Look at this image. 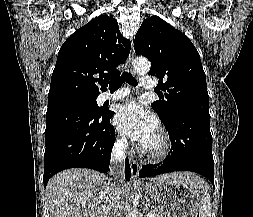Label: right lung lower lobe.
I'll list each match as a JSON object with an SVG mask.
<instances>
[{"instance_id":"98d812e1","label":"right lung lower lobe","mask_w":253,"mask_h":217,"mask_svg":"<svg viewBox=\"0 0 253 217\" xmlns=\"http://www.w3.org/2000/svg\"><path fill=\"white\" fill-rule=\"evenodd\" d=\"M113 112L92 113L68 110L46 117L44 186L61 170L85 167L102 173L109 171L115 129L110 124ZM131 169L126 158L125 178Z\"/></svg>"}]
</instances>
